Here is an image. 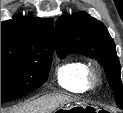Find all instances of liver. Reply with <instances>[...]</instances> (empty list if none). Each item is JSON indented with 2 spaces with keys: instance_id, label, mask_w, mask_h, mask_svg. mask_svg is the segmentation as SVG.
Instances as JSON below:
<instances>
[{
  "instance_id": "obj_1",
  "label": "liver",
  "mask_w": 123,
  "mask_h": 113,
  "mask_svg": "<svg viewBox=\"0 0 123 113\" xmlns=\"http://www.w3.org/2000/svg\"><path fill=\"white\" fill-rule=\"evenodd\" d=\"M71 101L72 99L67 96H46L17 107L11 113H52L58 107Z\"/></svg>"
}]
</instances>
